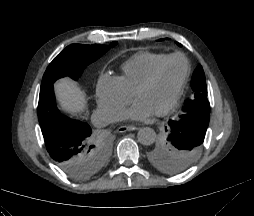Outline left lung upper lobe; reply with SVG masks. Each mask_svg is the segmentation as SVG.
<instances>
[{
  "instance_id": "obj_1",
  "label": "left lung upper lobe",
  "mask_w": 254,
  "mask_h": 216,
  "mask_svg": "<svg viewBox=\"0 0 254 216\" xmlns=\"http://www.w3.org/2000/svg\"><path fill=\"white\" fill-rule=\"evenodd\" d=\"M178 46H182L177 43ZM192 99L183 114L165 127L168 137L148 152L149 161L159 170L176 174L186 170L199 155L210 118L206 79L199 65L192 77Z\"/></svg>"
}]
</instances>
